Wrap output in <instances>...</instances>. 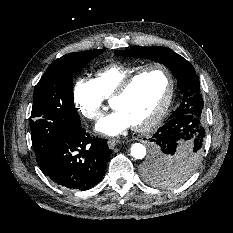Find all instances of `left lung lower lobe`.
<instances>
[{
	"mask_svg": "<svg viewBox=\"0 0 233 233\" xmlns=\"http://www.w3.org/2000/svg\"><path fill=\"white\" fill-rule=\"evenodd\" d=\"M204 137L205 130L198 120L191 123L176 119L168 120L150 139L152 155L144 175L154 176L155 182L178 181L174 174L162 166V163L165 160L178 161L187 157L199 159Z\"/></svg>",
	"mask_w": 233,
	"mask_h": 233,
	"instance_id": "obj_1",
	"label": "left lung lower lobe"
}]
</instances>
